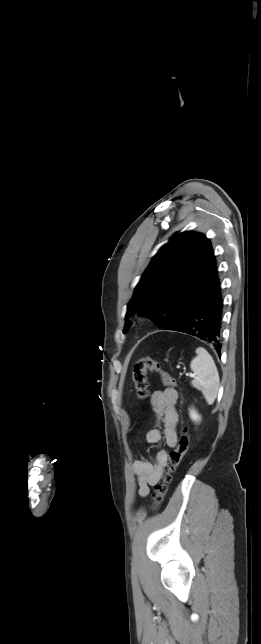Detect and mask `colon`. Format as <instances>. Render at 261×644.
I'll return each instance as SVG.
<instances>
[{
    "instance_id": "colon-1",
    "label": "colon",
    "mask_w": 261,
    "mask_h": 644,
    "mask_svg": "<svg viewBox=\"0 0 261 644\" xmlns=\"http://www.w3.org/2000/svg\"><path fill=\"white\" fill-rule=\"evenodd\" d=\"M155 372L159 374L163 384L167 386H175L176 380L168 372H166L159 361L151 356H146L136 360L132 365V380L136 389L139 399H146L150 392L147 382V373ZM189 434L187 429L184 428L179 439L177 447L170 452L167 464V471L164 472L162 482L155 484L153 494V508L156 509L167 492L168 484L171 482L172 473L180 465L183 457L185 456L189 447Z\"/></svg>"
}]
</instances>
